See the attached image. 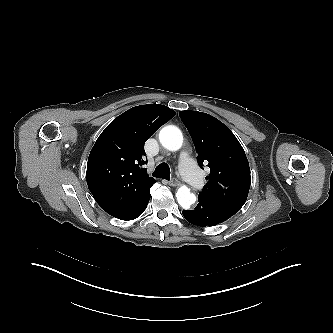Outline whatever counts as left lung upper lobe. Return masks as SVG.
Returning <instances> with one entry per match:
<instances>
[{"label": "left lung upper lobe", "instance_id": "obj_1", "mask_svg": "<svg viewBox=\"0 0 333 333\" xmlns=\"http://www.w3.org/2000/svg\"><path fill=\"white\" fill-rule=\"evenodd\" d=\"M179 116L192 137L199 166L207 165L211 170L199 197L237 213L246 202L251 183L241 144L221 121L209 114L180 111Z\"/></svg>", "mask_w": 333, "mask_h": 333}]
</instances>
